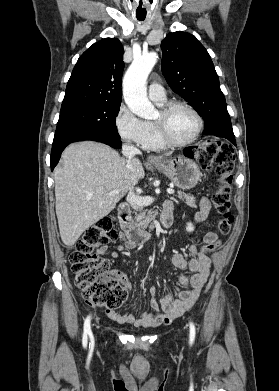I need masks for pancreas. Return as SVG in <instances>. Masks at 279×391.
I'll use <instances>...</instances> for the list:
<instances>
[{
    "instance_id": "pancreas-1",
    "label": "pancreas",
    "mask_w": 279,
    "mask_h": 391,
    "mask_svg": "<svg viewBox=\"0 0 279 391\" xmlns=\"http://www.w3.org/2000/svg\"><path fill=\"white\" fill-rule=\"evenodd\" d=\"M177 197L181 200H185L186 204L190 207L196 206V199L190 194H185L184 192L178 191ZM154 218V214L150 211L147 214H145V212L140 213L136 215V225L145 229L148 227L149 223L154 220Z\"/></svg>"
}]
</instances>
